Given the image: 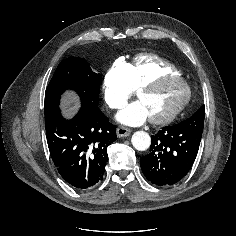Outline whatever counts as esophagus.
<instances>
[{"label":"esophagus","mask_w":236,"mask_h":236,"mask_svg":"<svg viewBox=\"0 0 236 236\" xmlns=\"http://www.w3.org/2000/svg\"><path fill=\"white\" fill-rule=\"evenodd\" d=\"M116 133L118 137H126L131 133V129L126 127H119L117 128Z\"/></svg>","instance_id":"1"}]
</instances>
